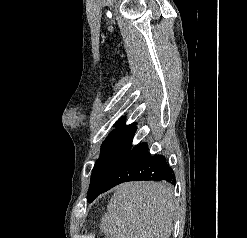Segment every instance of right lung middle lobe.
<instances>
[{"label": "right lung middle lobe", "mask_w": 247, "mask_h": 238, "mask_svg": "<svg viewBox=\"0 0 247 238\" xmlns=\"http://www.w3.org/2000/svg\"><path fill=\"white\" fill-rule=\"evenodd\" d=\"M136 129L134 124L126 126L121 122L103 142L100 157L92 171L88 202L94 200L110 180L115 167L130 149Z\"/></svg>", "instance_id": "obj_1"}]
</instances>
